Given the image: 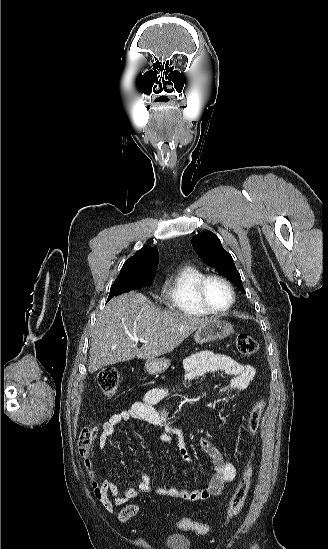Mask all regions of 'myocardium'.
Instances as JSON below:
<instances>
[{
  "label": "myocardium",
  "mask_w": 328,
  "mask_h": 549,
  "mask_svg": "<svg viewBox=\"0 0 328 549\" xmlns=\"http://www.w3.org/2000/svg\"><path fill=\"white\" fill-rule=\"evenodd\" d=\"M213 280H218V281L224 283L228 287V289L230 291V294H231V300H230L229 305L221 311H214V310L209 309L206 306L208 304L207 299H206V289H207L208 284ZM196 298L199 302V305H196L195 309L199 313H201L202 315H205V316H209V317H212V318L219 319V318L226 317L227 315H229L232 312V310L234 309V306L236 304L237 295H236L235 287H234V285H233V283L231 282L230 279H228L226 276H224L222 274H219V273H210V274H206L199 281V283L197 284Z\"/></svg>",
  "instance_id": "1"
}]
</instances>
